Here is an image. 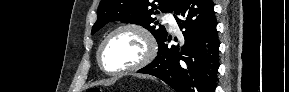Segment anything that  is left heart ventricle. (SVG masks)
Masks as SVG:
<instances>
[{"label":"left heart ventricle","instance_id":"obj_1","mask_svg":"<svg viewBox=\"0 0 289 92\" xmlns=\"http://www.w3.org/2000/svg\"><path fill=\"white\" fill-rule=\"evenodd\" d=\"M145 54V43L136 32L121 31L105 45L102 61L110 71L130 67L141 60Z\"/></svg>","mask_w":289,"mask_h":92}]
</instances>
